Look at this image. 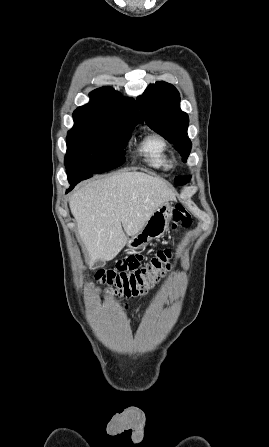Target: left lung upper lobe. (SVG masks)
<instances>
[{
	"instance_id": "1",
	"label": "left lung upper lobe",
	"mask_w": 269,
	"mask_h": 447,
	"mask_svg": "<svg viewBox=\"0 0 269 447\" xmlns=\"http://www.w3.org/2000/svg\"><path fill=\"white\" fill-rule=\"evenodd\" d=\"M138 105L147 125L170 143H174L183 162H186L191 150V141L187 137L189 119L188 115L180 110L177 89L163 81L151 84L138 98ZM190 178L178 177L175 182L177 185H183L189 182Z\"/></svg>"
}]
</instances>
